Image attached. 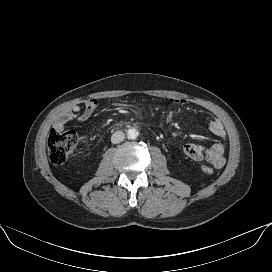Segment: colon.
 <instances>
[{
  "mask_svg": "<svg viewBox=\"0 0 272 272\" xmlns=\"http://www.w3.org/2000/svg\"><path fill=\"white\" fill-rule=\"evenodd\" d=\"M78 142L74 131H58L52 129L47 138L49 158L55 165L64 164L72 155ZM201 171L211 175L214 170L211 166L202 165Z\"/></svg>",
  "mask_w": 272,
  "mask_h": 272,
  "instance_id": "colon-1",
  "label": "colon"
}]
</instances>
